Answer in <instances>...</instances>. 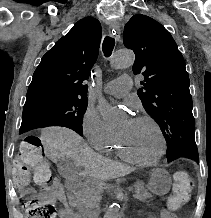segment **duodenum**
I'll list each match as a JSON object with an SVG mask.
<instances>
[{"label":"duodenum","mask_w":211,"mask_h":218,"mask_svg":"<svg viewBox=\"0 0 211 218\" xmlns=\"http://www.w3.org/2000/svg\"><path fill=\"white\" fill-rule=\"evenodd\" d=\"M79 185H80V178L76 175L68 177L65 181V186L67 189H75ZM98 213H100V211Z\"/></svg>","instance_id":"obj_1"}]
</instances>
